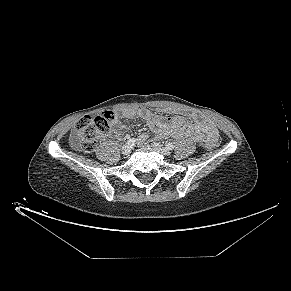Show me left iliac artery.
Segmentation results:
<instances>
[{
  "mask_svg": "<svg viewBox=\"0 0 291 291\" xmlns=\"http://www.w3.org/2000/svg\"><path fill=\"white\" fill-rule=\"evenodd\" d=\"M166 148L172 150L174 148V145L172 143L165 144Z\"/></svg>",
  "mask_w": 291,
  "mask_h": 291,
  "instance_id": "44dca946",
  "label": "left iliac artery"
}]
</instances>
